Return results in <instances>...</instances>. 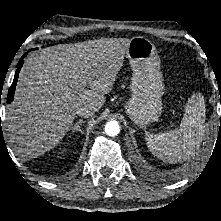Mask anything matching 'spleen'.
I'll return each mask as SVG.
<instances>
[{
  "mask_svg": "<svg viewBox=\"0 0 221 221\" xmlns=\"http://www.w3.org/2000/svg\"><path fill=\"white\" fill-rule=\"evenodd\" d=\"M205 105L200 95L188 100L185 114L177 130L146 133V144L157 158L177 163L187 161L199 149L205 132Z\"/></svg>",
  "mask_w": 221,
  "mask_h": 221,
  "instance_id": "1",
  "label": "spleen"
}]
</instances>
